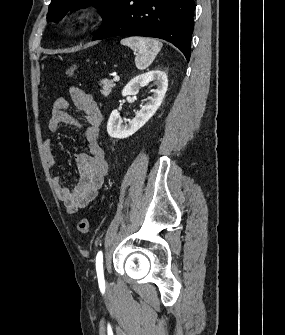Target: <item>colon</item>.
<instances>
[{
    "instance_id": "colon-1",
    "label": "colon",
    "mask_w": 285,
    "mask_h": 335,
    "mask_svg": "<svg viewBox=\"0 0 285 335\" xmlns=\"http://www.w3.org/2000/svg\"><path fill=\"white\" fill-rule=\"evenodd\" d=\"M76 72V66L74 64L69 65L68 68L66 69V74L70 77H73ZM77 229L79 232L85 234L88 233L90 230V224L87 218L85 217H80L77 220Z\"/></svg>"
}]
</instances>
